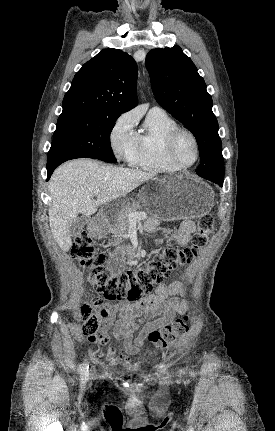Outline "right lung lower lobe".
Segmentation results:
<instances>
[{
    "label": "right lung lower lobe",
    "mask_w": 275,
    "mask_h": 431,
    "mask_svg": "<svg viewBox=\"0 0 275 431\" xmlns=\"http://www.w3.org/2000/svg\"><path fill=\"white\" fill-rule=\"evenodd\" d=\"M75 158H82V157H80V156H69V157H65V158H61V159L48 161L47 162V172H48L47 180L50 178V176L53 173V171L55 170V168L58 167L61 163L65 162L67 160L75 159Z\"/></svg>",
    "instance_id": "obj_1"
}]
</instances>
